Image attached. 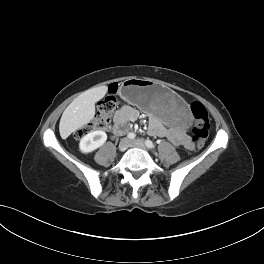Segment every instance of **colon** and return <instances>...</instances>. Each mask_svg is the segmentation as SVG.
Instances as JSON below:
<instances>
[{"label": "colon", "mask_w": 264, "mask_h": 264, "mask_svg": "<svg viewBox=\"0 0 264 264\" xmlns=\"http://www.w3.org/2000/svg\"><path fill=\"white\" fill-rule=\"evenodd\" d=\"M116 86L111 85L108 95L99 102L94 118L86 126L79 129L76 133L77 137H82L90 131L104 129L108 126L111 116L116 109L117 101L114 96ZM191 113L194 119L193 141L200 148L203 146L209 134V118L204 105L200 102L191 104Z\"/></svg>", "instance_id": "1"}]
</instances>
